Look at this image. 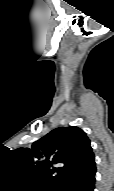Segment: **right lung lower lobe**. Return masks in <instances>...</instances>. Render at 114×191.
<instances>
[{"label":"right lung lower lobe","instance_id":"1","mask_svg":"<svg viewBox=\"0 0 114 191\" xmlns=\"http://www.w3.org/2000/svg\"><path fill=\"white\" fill-rule=\"evenodd\" d=\"M96 169L71 178L58 187V191H94Z\"/></svg>","mask_w":114,"mask_h":191}]
</instances>
